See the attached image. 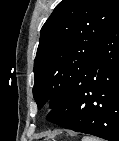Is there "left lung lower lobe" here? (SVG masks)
I'll list each match as a JSON object with an SVG mask.
<instances>
[{
  "instance_id": "obj_1",
  "label": "left lung lower lobe",
  "mask_w": 119,
  "mask_h": 141,
  "mask_svg": "<svg viewBox=\"0 0 119 141\" xmlns=\"http://www.w3.org/2000/svg\"><path fill=\"white\" fill-rule=\"evenodd\" d=\"M63 128L119 141V14L77 82L49 112Z\"/></svg>"
}]
</instances>
